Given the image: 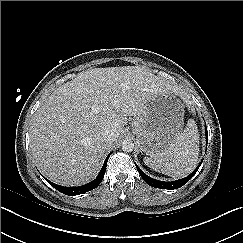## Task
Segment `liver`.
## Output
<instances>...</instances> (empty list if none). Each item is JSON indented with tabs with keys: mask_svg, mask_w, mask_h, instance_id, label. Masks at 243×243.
<instances>
[{
	"mask_svg": "<svg viewBox=\"0 0 243 243\" xmlns=\"http://www.w3.org/2000/svg\"><path fill=\"white\" fill-rule=\"evenodd\" d=\"M187 94L138 66L88 69L59 86L37 109L30 150L38 169L63 186H78L94 179L109 144L102 134L124 133L128 117L139 116L157 95ZM115 139V140H116Z\"/></svg>",
	"mask_w": 243,
	"mask_h": 243,
	"instance_id": "6515ba94",
	"label": "liver"
}]
</instances>
